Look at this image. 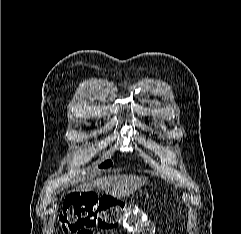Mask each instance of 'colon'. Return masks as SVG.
<instances>
[{"label":"colon","instance_id":"obj_1","mask_svg":"<svg viewBox=\"0 0 241 234\" xmlns=\"http://www.w3.org/2000/svg\"><path fill=\"white\" fill-rule=\"evenodd\" d=\"M59 219L66 232L75 234L87 228L110 230L120 225L132 234H153L154 231L153 224L138 207L90 193L68 195Z\"/></svg>","mask_w":241,"mask_h":234}]
</instances>
